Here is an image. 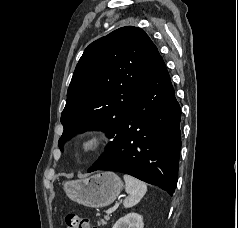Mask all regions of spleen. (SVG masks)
<instances>
[{
  "label": "spleen",
  "mask_w": 238,
  "mask_h": 228,
  "mask_svg": "<svg viewBox=\"0 0 238 228\" xmlns=\"http://www.w3.org/2000/svg\"><path fill=\"white\" fill-rule=\"evenodd\" d=\"M123 179L125 181V190L128 193V196L123 201V206L131 208L137 205L146 194L147 186L139 179L130 175H124Z\"/></svg>",
  "instance_id": "obj_1"
}]
</instances>
